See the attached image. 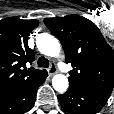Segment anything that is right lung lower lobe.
<instances>
[{
    "mask_svg": "<svg viewBox=\"0 0 114 114\" xmlns=\"http://www.w3.org/2000/svg\"><path fill=\"white\" fill-rule=\"evenodd\" d=\"M47 76L46 71L36 80L0 96V114H23L29 111L36 100L38 87L42 85Z\"/></svg>",
    "mask_w": 114,
    "mask_h": 114,
    "instance_id": "98d812e1",
    "label": "right lung lower lobe"
}]
</instances>
